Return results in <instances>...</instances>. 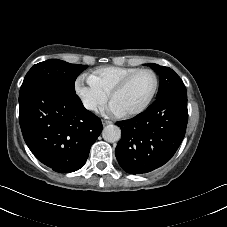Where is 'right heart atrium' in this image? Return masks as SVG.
I'll use <instances>...</instances> for the list:
<instances>
[{
  "mask_svg": "<svg viewBox=\"0 0 227 227\" xmlns=\"http://www.w3.org/2000/svg\"><path fill=\"white\" fill-rule=\"evenodd\" d=\"M74 90L83 106L90 111L103 109L109 98V93L91 81L89 77L80 76L75 82Z\"/></svg>",
  "mask_w": 227,
  "mask_h": 227,
  "instance_id": "right-heart-atrium-1",
  "label": "right heart atrium"
}]
</instances>
